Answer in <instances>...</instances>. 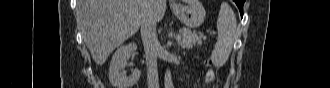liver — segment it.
<instances>
[{"label":"liver","mask_w":330,"mask_h":88,"mask_svg":"<svg viewBox=\"0 0 330 88\" xmlns=\"http://www.w3.org/2000/svg\"><path fill=\"white\" fill-rule=\"evenodd\" d=\"M165 11L166 0H79L76 9L82 37L97 65L139 30L147 14L159 22Z\"/></svg>","instance_id":"obj_1"}]
</instances>
